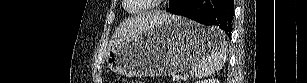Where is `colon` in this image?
Returning a JSON list of instances; mask_svg holds the SVG:
<instances>
[{
	"instance_id": "obj_1",
	"label": "colon",
	"mask_w": 307,
	"mask_h": 83,
	"mask_svg": "<svg viewBox=\"0 0 307 83\" xmlns=\"http://www.w3.org/2000/svg\"><path fill=\"white\" fill-rule=\"evenodd\" d=\"M133 81L125 79V78H119L115 81V83H131Z\"/></svg>"
}]
</instances>
